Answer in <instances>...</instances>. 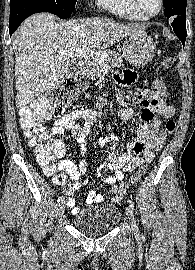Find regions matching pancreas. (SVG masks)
<instances>
[{"mask_svg":"<svg viewBox=\"0 0 195 270\" xmlns=\"http://www.w3.org/2000/svg\"><path fill=\"white\" fill-rule=\"evenodd\" d=\"M107 58L102 61L100 58H89L83 67V75L95 79L100 76L102 71L109 67L122 66V56L112 50L105 51Z\"/></svg>","mask_w":195,"mask_h":270,"instance_id":"obj_1","label":"pancreas"}]
</instances>
